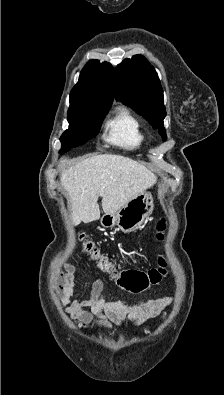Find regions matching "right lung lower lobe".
<instances>
[{"label":"right lung lower lobe","mask_w":224,"mask_h":395,"mask_svg":"<svg viewBox=\"0 0 224 395\" xmlns=\"http://www.w3.org/2000/svg\"><path fill=\"white\" fill-rule=\"evenodd\" d=\"M59 153L62 154V153H64V151H63V150H60Z\"/></svg>","instance_id":"right-lung-lower-lobe-1"}]
</instances>
